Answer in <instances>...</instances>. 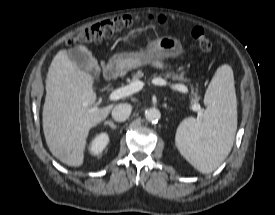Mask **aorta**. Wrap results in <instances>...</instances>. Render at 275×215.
<instances>
[{"label": "aorta", "instance_id": "obj_1", "mask_svg": "<svg viewBox=\"0 0 275 215\" xmlns=\"http://www.w3.org/2000/svg\"><path fill=\"white\" fill-rule=\"evenodd\" d=\"M160 116V111L157 108H150L145 112V118L150 123L158 122Z\"/></svg>", "mask_w": 275, "mask_h": 215}]
</instances>
